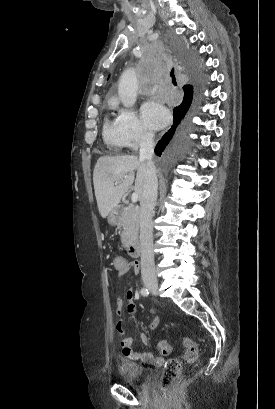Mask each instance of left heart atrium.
<instances>
[{"instance_id": "obj_1", "label": "left heart atrium", "mask_w": 275, "mask_h": 409, "mask_svg": "<svg viewBox=\"0 0 275 409\" xmlns=\"http://www.w3.org/2000/svg\"><path fill=\"white\" fill-rule=\"evenodd\" d=\"M143 115L155 129H160L170 122V113L160 102H148L143 108Z\"/></svg>"}]
</instances>
